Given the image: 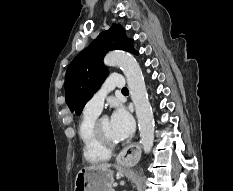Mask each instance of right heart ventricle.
Returning a JSON list of instances; mask_svg holds the SVG:
<instances>
[{
    "label": "right heart ventricle",
    "instance_id": "e07e8e85",
    "mask_svg": "<svg viewBox=\"0 0 233 191\" xmlns=\"http://www.w3.org/2000/svg\"><path fill=\"white\" fill-rule=\"evenodd\" d=\"M98 115V113L85 110L78 127L83 156L87 162L92 164L104 162L111 155V151L101 146L94 135V124Z\"/></svg>",
    "mask_w": 233,
    "mask_h": 191
}]
</instances>
